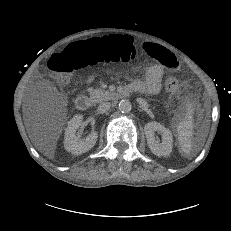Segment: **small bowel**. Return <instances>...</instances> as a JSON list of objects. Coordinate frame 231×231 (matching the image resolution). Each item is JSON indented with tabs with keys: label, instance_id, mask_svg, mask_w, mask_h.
I'll use <instances>...</instances> for the list:
<instances>
[{
	"label": "small bowel",
	"instance_id": "small-bowel-1",
	"mask_svg": "<svg viewBox=\"0 0 231 231\" xmlns=\"http://www.w3.org/2000/svg\"><path fill=\"white\" fill-rule=\"evenodd\" d=\"M143 49L157 62L150 63L145 67L144 80H135L129 86L137 92L157 94L161 89L164 70L167 69L169 72H177L180 69V64L173 54L157 44L145 43ZM94 79V76H90L86 79V83H91Z\"/></svg>",
	"mask_w": 231,
	"mask_h": 231
}]
</instances>
